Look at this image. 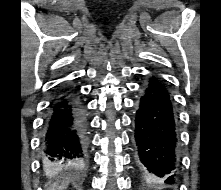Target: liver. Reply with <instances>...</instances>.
Segmentation results:
<instances>
[{
	"mask_svg": "<svg viewBox=\"0 0 221 190\" xmlns=\"http://www.w3.org/2000/svg\"><path fill=\"white\" fill-rule=\"evenodd\" d=\"M55 190H63L65 188V185H61V186H58L57 184L54 186Z\"/></svg>",
	"mask_w": 221,
	"mask_h": 190,
	"instance_id": "1",
	"label": "liver"
}]
</instances>
